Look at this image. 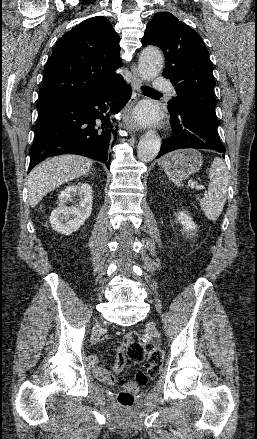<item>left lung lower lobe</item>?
Segmentation results:
<instances>
[{"instance_id":"left-lung-lower-lobe-1","label":"left lung lower lobe","mask_w":257,"mask_h":439,"mask_svg":"<svg viewBox=\"0 0 257 439\" xmlns=\"http://www.w3.org/2000/svg\"><path fill=\"white\" fill-rule=\"evenodd\" d=\"M169 112L172 134L162 141L156 158L183 148L209 149L225 153V147L217 134L218 120L215 116L198 107Z\"/></svg>"}]
</instances>
